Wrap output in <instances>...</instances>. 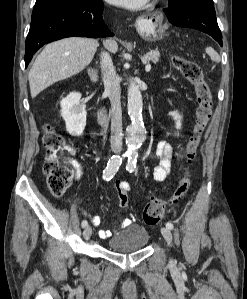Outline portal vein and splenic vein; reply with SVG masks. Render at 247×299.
<instances>
[{
	"label": "portal vein and splenic vein",
	"instance_id": "portal-vein-and-splenic-vein-1",
	"mask_svg": "<svg viewBox=\"0 0 247 299\" xmlns=\"http://www.w3.org/2000/svg\"><path fill=\"white\" fill-rule=\"evenodd\" d=\"M145 69L147 72H149L151 70V65L147 63Z\"/></svg>",
	"mask_w": 247,
	"mask_h": 299
}]
</instances>
